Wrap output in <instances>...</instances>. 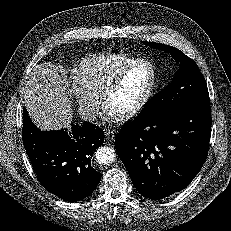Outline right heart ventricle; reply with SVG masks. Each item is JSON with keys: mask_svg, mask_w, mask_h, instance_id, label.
<instances>
[{"mask_svg": "<svg viewBox=\"0 0 231 231\" xmlns=\"http://www.w3.org/2000/svg\"><path fill=\"white\" fill-rule=\"evenodd\" d=\"M137 59L125 53L92 55L78 63L74 78L89 95L98 98L106 83Z\"/></svg>", "mask_w": 231, "mask_h": 231, "instance_id": "right-heart-ventricle-1", "label": "right heart ventricle"}]
</instances>
